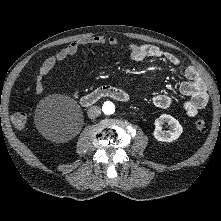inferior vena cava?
I'll list each match as a JSON object with an SVG mask.
<instances>
[{
  "label": "inferior vena cava",
  "instance_id": "602c4592",
  "mask_svg": "<svg viewBox=\"0 0 221 221\" xmlns=\"http://www.w3.org/2000/svg\"><path fill=\"white\" fill-rule=\"evenodd\" d=\"M100 114L101 108L99 106H91L87 111V115L91 119L98 117Z\"/></svg>",
  "mask_w": 221,
  "mask_h": 221
}]
</instances>
